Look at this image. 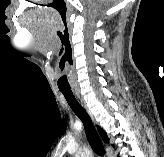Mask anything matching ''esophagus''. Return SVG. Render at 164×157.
Instances as JSON below:
<instances>
[{
  "label": "esophagus",
  "mask_w": 164,
  "mask_h": 157,
  "mask_svg": "<svg viewBox=\"0 0 164 157\" xmlns=\"http://www.w3.org/2000/svg\"><path fill=\"white\" fill-rule=\"evenodd\" d=\"M75 94H76L77 97H80L78 90H75Z\"/></svg>",
  "instance_id": "1"
}]
</instances>
